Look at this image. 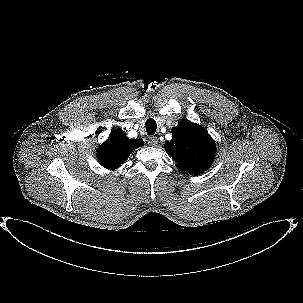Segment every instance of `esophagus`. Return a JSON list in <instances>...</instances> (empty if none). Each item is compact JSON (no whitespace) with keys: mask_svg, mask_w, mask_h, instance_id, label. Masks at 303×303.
Here are the masks:
<instances>
[{"mask_svg":"<svg viewBox=\"0 0 303 303\" xmlns=\"http://www.w3.org/2000/svg\"><path fill=\"white\" fill-rule=\"evenodd\" d=\"M148 143L151 146H157V144L159 143V140H158V138L156 136H151L148 139Z\"/></svg>","mask_w":303,"mask_h":303,"instance_id":"obj_1","label":"esophagus"}]
</instances>
